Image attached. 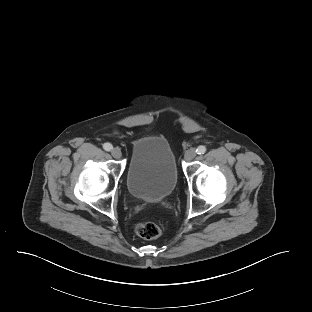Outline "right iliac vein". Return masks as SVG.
Segmentation results:
<instances>
[{"label":"right iliac vein","mask_w":312,"mask_h":312,"mask_svg":"<svg viewBox=\"0 0 312 312\" xmlns=\"http://www.w3.org/2000/svg\"><path fill=\"white\" fill-rule=\"evenodd\" d=\"M111 155H112L114 158L119 159V158H121L122 153H121V150H120L119 148H113V149L111 150Z\"/></svg>","instance_id":"right-iliac-vein-1"}]
</instances>
